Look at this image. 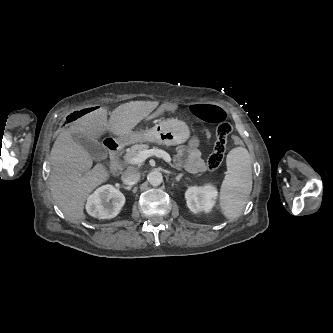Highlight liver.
<instances>
[{
	"label": "liver",
	"instance_id": "6515ba94",
	"mask_svg": "<svg viewBox=\"0 0 333 333\" xmlns=\"http://www.w3.org/2000/svg\"><path fill=\"white\" fill-rule=\"evenodd\" d=\"M158 104L157 101L124 103L111 112L109 121L107 109L99 107L59 133L51 151L49 187L54 201L70 222L78 224L85 219L87 197L109 176L101 164L91 169L92 156L73 139V135L85 134L96 139L107 130L120 136L129 134Z\"/></svg>",
	"mask_w": 333,
	"mask_h": 333
}]
</instances>
